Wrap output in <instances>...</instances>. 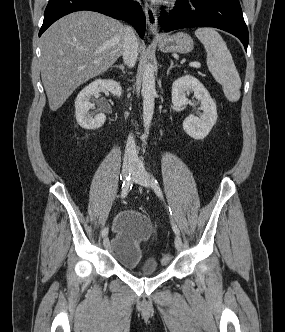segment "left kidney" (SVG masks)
I'll return each instance as SVG.
<instances>
[{"label":"left kidney","mask_w":285,"mask_h":332,"mask_svg":"<svg viewBox=\"0 0 285 332\" xmlns=\"http://www.w3.org/2000/svg\"><path fill=\"white\" fill-rule=\"evenodd\" d=\"M193 92L201 101L203 114L200 117L189 115L183 121L184 131L194 139L205 138L217 121L216 103L211 98L208 90L195 77L185 75L174 81L172 85V103L176 108H183L187 103V93Z\"/></svg>","instance_id":"left-kidney-1"}]
</instances>
